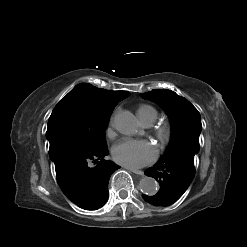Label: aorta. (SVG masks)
I'll return each instance as SVG.
<instances>
[{"label": "aorta", "instance_id": "obj_1", "mask_svg": "<svg viewBox=\"0 0 247 247\" xmlns=\"http://www.w3.org/2000/svg\"><path fill=\"white\" fill-rule=\"evenodd\" d=\"M116 129L124 135L132 136L136 134L138 124L135 116L129 111H123L115 117ZM140 190L149 196H153L158 191V183L152 177H144L139 183Z\"/></svg>", "mask_w": 247, "mask_h": 247}]
</instances>
